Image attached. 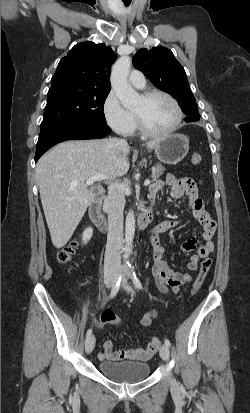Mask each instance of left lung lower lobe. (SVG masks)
<instances>
[{"label": "left lung lower lobe", "mask_w": 250, "mask_h": 413, "mask_svg": "<svg viewBox=\"0 0 250 413\" xmlns=\"http://www.w3.org/2000/svg\"><path fill=\"white\" fill-rule=\"evenodd\" d=\"M200 117H186L184 120L188 123V122H194V121H198Z\"/></svg>", "instance_id": "1"}]
</instances>
